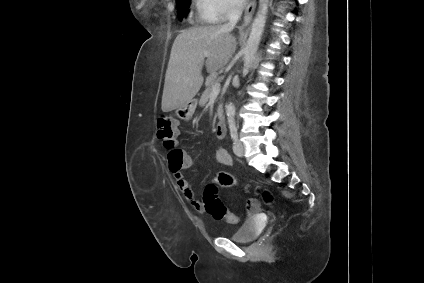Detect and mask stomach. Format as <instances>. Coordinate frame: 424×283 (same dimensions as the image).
Wrapping results in <instances>:
<instances>
[{
    "label": "stomach",
    "mask_w": 424,
    "mask_h": 283,
    "mask_svg": "<svg viewBox=\"0 0 424 283\" xmlns=\"http://www.w3.org/2000/svg\"><path fill=\"white\" fill-rule=\"evenodd\" d=\"M196 104L195 101L192 100L189 103L177 108L176 115L179 119L188 121L191 119L195 112Z\"/></svg>",
    "instance_id": "0dacf381"
}]
</instances>
